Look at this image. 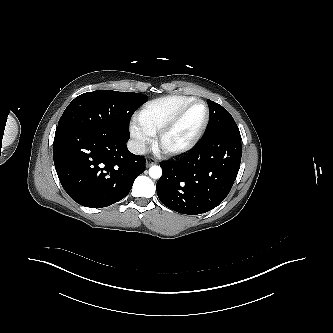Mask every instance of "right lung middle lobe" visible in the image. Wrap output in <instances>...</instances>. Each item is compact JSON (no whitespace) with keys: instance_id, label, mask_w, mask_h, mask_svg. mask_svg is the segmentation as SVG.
I'll return each instance as SVG.
<instances>
[{"instance_id":"right-lung-middle-lobe-1","label":"right lung middle lobe","mask_w":333,"mask_h":333,"mask_svg":"<svg viewBox=\"0 0 333 333\" xmlns=\"http://www.w3.org/2000/svg\"><path fill=\"white\" fill-rule=\"evenodd\" d=\"M148 97L133 92L97 90L76 97L65 109L57 129H74L115 140L129 139V121Z\"/></svg>"}]
</instances>
